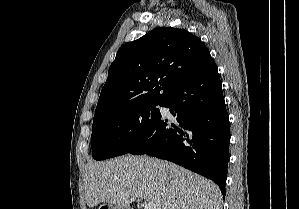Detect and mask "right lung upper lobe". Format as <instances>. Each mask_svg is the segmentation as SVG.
Instances as JSON below:
<instances>
[{
  "label": "right lung upper lobe",
  "instance_id": "1",
  "mask_svg": "<svg viewBox=\"0 0 299 209\" xmlns=\"http://www.w3.org/2000/svg\"><path fill=\"white\" fill-rule=\"evenodd\" d=\"M205 69L218 70L197 36L158 27L119 49L95 115L126 105L164 102L179 83Z\"/></svg>",
  "mask_w": 299,
  "mask_h": 209
}]
</instances>
